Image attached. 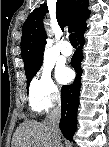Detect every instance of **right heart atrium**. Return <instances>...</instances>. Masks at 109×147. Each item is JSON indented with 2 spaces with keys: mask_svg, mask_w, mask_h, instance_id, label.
I'll return each mask as SVG.
<instances>
[{
  "mask_svg": "<svg viewBox=\"0 0 109 147\" xmlns=\"http://www.w3.org/2000/svg\"><path fill=\"white\" fill-rule=\"evenodd\" d=\"M59 99L60 92L52 78L51 69L43 66L30 83V103L42 111L54 106Z\"/></svg>",
  "mask_w": 109,
  "mask_h": 147,
  "instance_id": "obj_1",
  "label": "right heart atrium"
}]
</instances>
